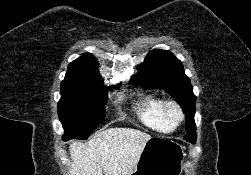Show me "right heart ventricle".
<instances>
[{
  "label": "right heart ventricle",
  "mask_w": 251,
  "mask_h": 175,
  "mask_svg": "<svg viewBox=\"0 0 251 175\" xmlns=\"http://www.w3.org/2000/svg\"><path fill=\"white\" fill-rule=\"evenodd\" d=\"M164 102L160 96L144 95L132 108L144 126L158 133L169 134L174 132L175 128L163 116Z\"/></svg>",
  "instance_id": "obj_1"
}]
</instances>
